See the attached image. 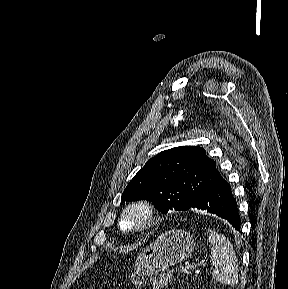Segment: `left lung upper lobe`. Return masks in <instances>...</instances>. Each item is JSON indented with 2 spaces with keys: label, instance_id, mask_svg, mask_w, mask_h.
Instances as JSON below:
<instances>
[{
  "label": "left lung upper lobe",
  "instance_id": "1",
  "mask_svg": "<svg viewBox=\"0 0 288 289\" xmlns=\"http://www.w3.org/2000/svg\"><path fill=\"white\" fill-rule=\"evenodd\" d=\"M220 176L203 148L176 147L147 161L125 188L121 203L149 200L162 213L186 211Z\"/></svg>",
  "mask_w": 288,
  "mask_h": 289
}]
</instances>
